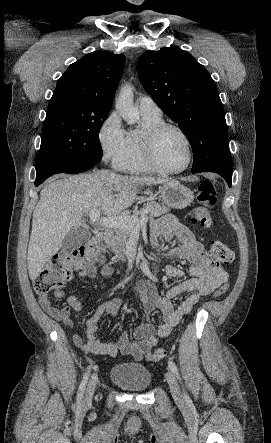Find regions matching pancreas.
Masks as SVG:
<instances>
[{
  "instance_id": "obj_1",
  "label": "pancreas",
  "mask_w": 271,
  "mask_h": 443,
  "mask_svg": "<svg viewBox=\"0 0 271 443\" xmlns=\"http://www.w3.org/2000/svg\"><path fill=\"white\" fill-rule=\"evenodd\" d=\"M144 210H148V218L152 220V218H156V216H162V214H167L169 212V208H165V206H160L157 202H147L144 204V208H142L141 212L135 210L133 212V216H144ZM135 227L132 229H116L115 235H108L105 243H107V247H110L118 257L124 259L123 251H125V245Z\"/></svg>"
}]
</instances>
